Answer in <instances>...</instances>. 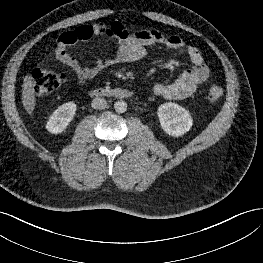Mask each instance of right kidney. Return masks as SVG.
Here are the masks:
<instances>
[{
	"instance_id": "1",
	"label": "right kidney",
	"mask_w": 263,
	"mask_h": 263,
	"mask_svg": "<svg viewBox=\"0 0 263 263\" xmlns=\"http://www.w3.org/2000/svg\"><path fill=\"white\" fill-rule=\"evenodd\" d=\"M76 109L74 102H67L59 106L49 117L46 129L52 134L62 133L73 120Z\"/></svg>"
}]
</instances>
